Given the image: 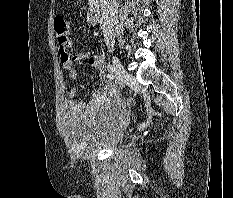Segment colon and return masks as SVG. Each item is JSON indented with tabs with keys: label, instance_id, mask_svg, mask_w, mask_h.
Instances as JSON below:
<instances>
[{
	"label": "colon",
	"instance_id": "1",
	"mask_svg": "<svg viewBox=\"0 0 233 198\" xmlns=\"http://www.w3.org/2000/svg\"><path fill=\"white\" fill-rule=\"evenodd\" d=\"M54 30L57 35L58 42L67 43L70 40L71 30L62 17L57 16L54 18Z\"/></svg>",
	"mask_w": 233,
	"mask_h": 198
}]
</instances>
